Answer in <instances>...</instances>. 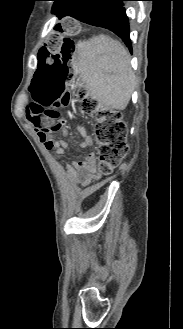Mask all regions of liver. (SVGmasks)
Returning a JSON list of instances; mask_svg holds the SVG:
<instances>
[{"label": "liver", "mask_w": 183, "mask_h": 329, "mask_svg": "<svg viewBox=\"0 0 183 329\" xmlns=\"http://www.w3.org/2000/svg\"><path fill=\"white\" fill-rule=\"evenodd\" d=\"M73 69L101 109L124 110L135 87L130 55L117 40L100 34L81 44Z\"/></svg>", "instance_id": "6515ba94"}]
</instances>
